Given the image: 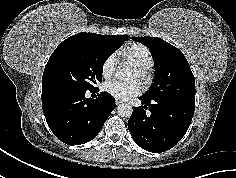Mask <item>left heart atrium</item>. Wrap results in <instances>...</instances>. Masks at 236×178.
Wrapping results in <instances>:
<instances>
[{
  "label": "left heart atrium",
  "mask_w": 236,
  "mask_h": 178,
  "mask_svg": "<svg viewBox=\"0 0 236 178\" xmlns=\"http://www.w3.org/2000/svg\"><path fill=\"white\" fill-rule=\"evenodd\" d=\"M103 89L117 100H128L141 91V85L136 79L130 81L111 80L104 84Z\"/></svg>",
  "instance_id": "39dd6f15"
}]
</instances>
